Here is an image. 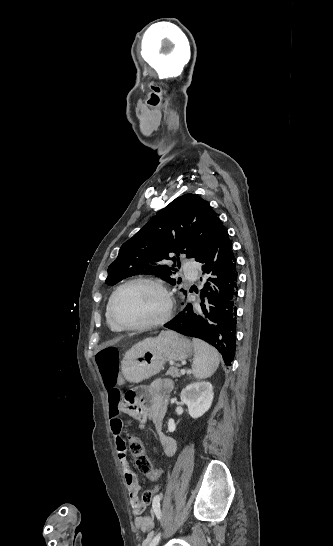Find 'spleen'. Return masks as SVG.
Here are the masks:
<instances>
[{"label": "spleen", "instance_id": "obj_1", "mask_svg": "<svg viewBox=\"0 0 333 546\" xmlns=\"http://www.w3.org/2000/svg\"><path fill=\"white\" fill-rule=\"evenodd\" d=\"M195 357L192 363L193 375L198 379L211 377L217 370L220 355L217 350L200 339H193Z\"/></svg>", "mask_w": 333, "mask_h": 546}]
</instances>
